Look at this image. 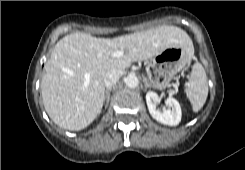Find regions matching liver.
Returning a JSON list of instances; mask_svg holds the SVG:
<instances>
[{"label": "liver", "mask_w": 245, "mask_h": 170, "mask_svg": "<svg viewBox=\"0 0 245 170\" xmlns=\"http://www.w3.org/2000/svg\"><path fill=\"white\" fill-rule=\"evenodd\" d=\"M171 47L194 53L188 34L167 25L113 39L82 32L63 37L54 46L41 81L47 114L64 129L86 128L103 107L107 72H125L132 62L150 59ZM117 51H123V55L113 57Z\"/></svg>", "instance_id": "6515ba94"}]
</instances>
